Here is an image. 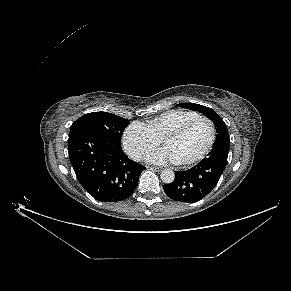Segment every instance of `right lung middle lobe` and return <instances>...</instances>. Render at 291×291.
<instances>
[{
    "label": "right lung middle lobe",
    "instance_id": "dd1d6c3e",
    "mask_svg": "<svg viewBox=\"0 0 291 291\" xmlns=\"http://www.w3.org/2000/svg\"><path fill=\"white\" fill-rule=\"evenodd\" d=\"M129 124L127 119L107 112H92L76 120L70 134L78 131L98 133L121 146V136L124 128Z\"/></svg>",
    "mask_w": 291,
    "mask_h": 291
}]
</instances>
